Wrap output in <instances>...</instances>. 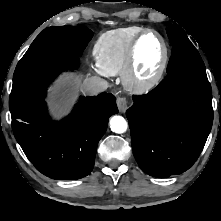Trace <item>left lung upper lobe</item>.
Returning <instances> with one entry per match:
<instances>
[{
  "label": "left lung upper lobe",
  "mask_w": 221,
  "mask_h": 221,
  "mask_svg": "<svg viewBox=\"0 0 221 221\" xmlns=\"http://www.w3.org/2000/svg\"><path fill=\"white\" fill-rule=\"evenodd\" d=\"M167 34L172 43V55L167 67V77L178 74L207 77L200 54L186 33L178 25L173 24L167 28Z\"/></svg>",
  "instance_id": "left-lung-upper-lobe-1"
}]
</instances>
